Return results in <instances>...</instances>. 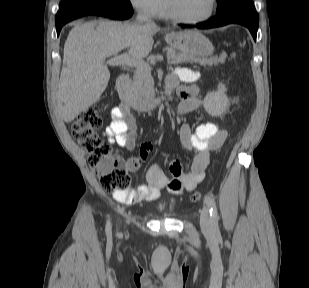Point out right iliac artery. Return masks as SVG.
<instances>
[{"mask_svg": "<svg viewBox=\"0 0 309 288\" xmlns=\"http://www.w3.org/2000/svg\"><path fill=\"white\" fill-rule=\"evenodd\" d=\"M106 231H107V232L110 231V226H109V225L107 226Z\"/></svg>", "mask_w": 309, "mask_h": 288, "instance_id": "1", "label": "right iliac artery"}]
</instances>
